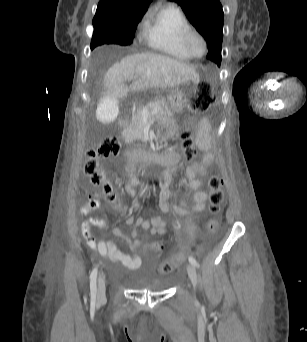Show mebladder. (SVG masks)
<instances>
[{"label": "bladder", "instance_id": "31cf9c89", "mask_svg": "<svg viewBox=\"0 0 307 342\" xmlns=\"http://www.w3.org/2000/svg\"><path fill=\"white\" fill-rule=\"evenodd\" d=\"M132 286L140 290L160 292L171 286V281L153 272H139L132 278Z\"/></svg>", "mask_w": 307, "mask_h": 342}]
</instances>
